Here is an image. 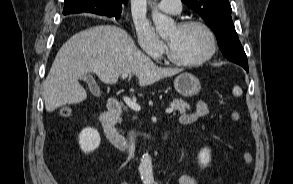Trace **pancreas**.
I'll list each match as a JSON object with an SVG mask.
<instances>
[{
  "label": "pancreas",
  "mask_w": 293,
  "mask_h": 184,
  "mask_svg": "<svg viewBox=\"0 0 293 184\" xmlns=\"http://www.w3.org/2000/svg\"><path fill=\"white\" fill-rule=\"evenodd\" d=\"M174 110L179 111L180 114L184 115L186 110L190 109V106L182 99H174L171 103Z\"/></svg>",
  "instance_id": "cf45deb5"
}]
</instances>
